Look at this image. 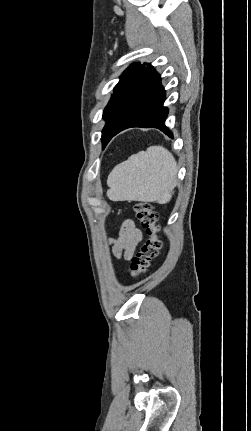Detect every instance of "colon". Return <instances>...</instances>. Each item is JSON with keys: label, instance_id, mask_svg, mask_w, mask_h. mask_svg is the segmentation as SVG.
<instances>
[{"label": "colon", "instance_id": "colon-1", "mask_svg": "<svg viewBox=\"0 0 251 431\" xmlns=\"http://www.w3.org/2000/svg\"><path fill=\"white\" fill-rule=\"evenodd\" d=\"M134 212L148 235L131 260V276L133 279H137L147 271L152 260L158 256L162 243L159 238V215L153 206L149 202H137L134 205Z\"/></svg>", "mask_w": 251, "mask_h": 431}]
</instances>
